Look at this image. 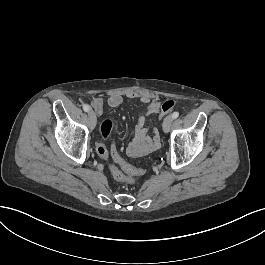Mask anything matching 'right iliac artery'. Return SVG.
Returning a JSON list of instances; mask_svg holds the SVG:
<instances>
[{"label":"right iliac artery","mask_w":265,"mask_h":265,"mask_svg":"<svg viewBox=\"0 0 265 265\" xmlns=\"http://www.w3.org/2000/svg\"><path fill=\"white\" fill-rule=\"evenodd\" d=\"M83 110H84L85 112L90 111V106L87 105V104L83 105Z\"/></svg>","instance_id":"1"}]
</instances>
